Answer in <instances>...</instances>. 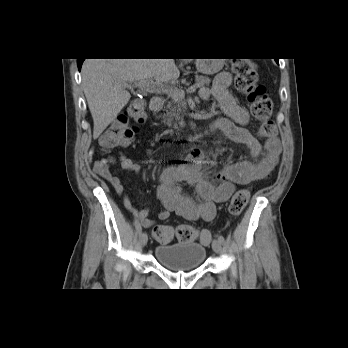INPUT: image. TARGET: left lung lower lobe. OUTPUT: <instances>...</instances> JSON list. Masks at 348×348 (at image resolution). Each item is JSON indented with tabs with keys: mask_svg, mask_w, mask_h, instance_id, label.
Returning <instances> with one entry per match:
<instances>
[{
	"mask_svg": "<svg viewBox=\"0 0 348 348\" xmlns=\"http://www.w3.org/2000/svg\"><path fill=\"white\" fill-rule=\"evenodd\" d=\"M275 61L278 63V59H275ZM279 64V63H278Z\"/></svg>",
	"mask_w": 348,
	"mask_h": 348,
	"instance_id": "left-lung-lower-lobe-1",
	"label": "left lung lower lobe"
}]
</instances>
